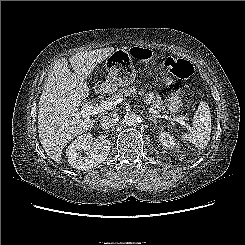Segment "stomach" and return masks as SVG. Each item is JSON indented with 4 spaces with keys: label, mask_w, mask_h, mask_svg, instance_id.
Returning <instances> with one entry per match:
<instances>
[{
    "label": "stomach",
    "mask_w": 245,
    "mask_h": 245,
    "mask_svg": "<svg viewBox=\"0 0 245 245\" xmlns=\"http://www.w3.org/2000/svg\"><path fill=\"white\" fill-rule=\"evenodd\" d=\"M105 68L108 71L105 85L114 91L118 87L132 84L136 78V71L133 67L130 54L127 50L117 49L109 55L105 61ZM164 84L171 85L173 80L165 78ZM183 106L178 93H172L166 100V113L176 114Z\"/></svg>",
    "instance_id": "0dacf381"
}]
</instances>
